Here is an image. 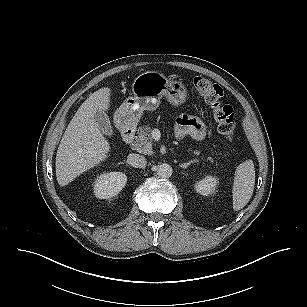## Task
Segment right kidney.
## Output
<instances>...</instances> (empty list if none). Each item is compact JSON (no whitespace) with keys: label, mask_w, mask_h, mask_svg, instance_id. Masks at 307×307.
Wrapping results in <instances>:
<instances>
[{"label":"right kidney","mask_w":307,"mask_h":307,"mask_svg":"<svg viewBox=\"0 0 307 307\" xmlns=\"http://www.w3.org/2000/svg\"><path fill=\"white\" fill-rule=\"evenodd\" d=\"M126 183L127 176L122 172L103 173L94 182V194L100 199L114 197Z\"/></svg>","instance_id":"ca27d5eb"}]
</instances>
